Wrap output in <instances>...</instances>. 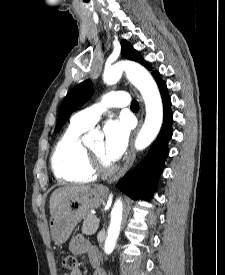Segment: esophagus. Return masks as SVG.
I'll use <instances>...</instances> for the list:
<instances>
[{"instance_id":"esophagus-1","label":"esophagus","mask_w":225,"mask_h":275,"mask_svg":"<svg viewBox=\"0 0 225 275\" xmlns=\"http://www.w3.org/2000/svg\"><path fill=\"white\" fill-rule=\"evenodd\" d=\"M134 92L136 93V95L139 97V95L137 94V92L134 90ZM140 98V97H139ZM142 122H143V119H142V116L139 120V124H138V127L136 128V130L134 131L133 135H132V138H131V143H130V148H129V153H128V157L122 167V169L115 175L113 176L109 181L108 183H113L115 181H117L120 177H122L129 169L130 167L132 166L134 160H135V157H136V153H135V150H134V141H135V138L139 132V129L142 125Z\"/></svg>"}]
</instances>
